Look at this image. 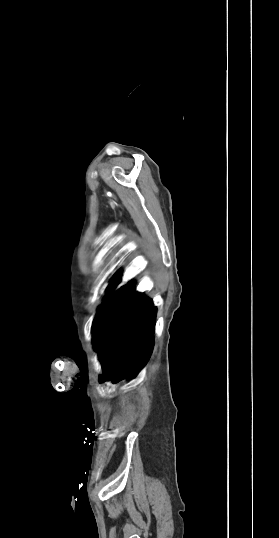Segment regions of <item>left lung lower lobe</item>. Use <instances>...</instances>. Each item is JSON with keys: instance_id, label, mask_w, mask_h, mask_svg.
<instances>
[{"instance_id": "obj_1", "label": "left lung lower lobe", "mask_w": 279, "mask_h": 538, "mask_svg": "<svg viewBox=\"0 0 279 538\" xmlns=\"http://www.w3.org/2000/svg\"><path fill=\"white\" fill-rule=\"evenodd\" d=\"M119 275L111 281L108 295L119 282ZM155 318L151 299L135 292L131 282L99 308L93 339L103 367L102 381L117 383L135 377L145 367L154 346Z\"/></svg>"}]
</instances>
